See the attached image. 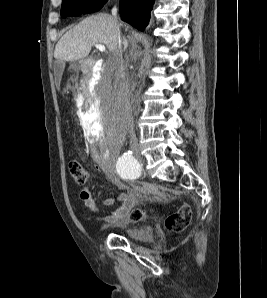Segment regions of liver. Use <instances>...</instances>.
Wrapping results in <instances>:
<instances>
[{
  "label": "liver",
  "instance_id": "6515ba94",
  "mask_svg": "<svg viewBox=\"0 0 267 298\" xmlns=\"http://www.w3.org/2000/svg\"><path fill=\"white\" fill-rule=\"evenodd\" d=\"M96 44L105 45L110 52L116 49L118 36L111 15L99 13L89 16L67 31L58 41L54 57L68 62L84 59Z\"/></svg>",
  "mask_w": 267,
  "mask_h": 298
}]
</instances>
